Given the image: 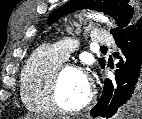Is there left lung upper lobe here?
Wrapping results in <instances>:
<instances>
[{"label": "left lung upper lobe", "instance_id": "obj_1", "mask_svg": "<svg viewBox=\"0 0 142 119\" xmlns=\"http://www.w3.org/2000/svg\"><path fill=\"white\" fill-rule=\"evenodd\" d=\"M82 8L102 11L115 18L119 28L117 30H111L113 35L120 34L125 28L142 18L139 9L133 6L130 0H71L62 8L55 10L50 15L48 22L57 20L60 15L68 13L69 11ZM99 63L104 68L105 60L103 58L99 59Z\"/></svg>", "mask_w": 142, "mask_h": 119}]
</instances>
